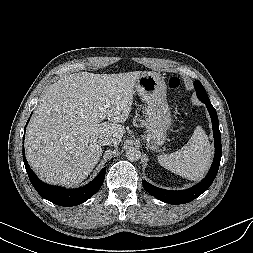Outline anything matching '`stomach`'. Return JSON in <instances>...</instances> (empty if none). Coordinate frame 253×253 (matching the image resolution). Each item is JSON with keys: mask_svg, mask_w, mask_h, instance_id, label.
I'll return each instance as SVG.
<instances>
[{"mask_svg": "<svg viewBox=\"0 0 253 253\" xmlns=\"http://www.w3.org/2000/svg\"><path fill=\"white\" fill-rule=\"evenodd\" d=\"M136 91L145 103V139L150 149H157L167 139L172 124L171 110L167 102V86L158 73L141 74L135 84Z\"/></svg>", "mask_w": 253, "mask_h": 253, "instance_id": "0dacf381", "label": "stomach"}]
</instances>
